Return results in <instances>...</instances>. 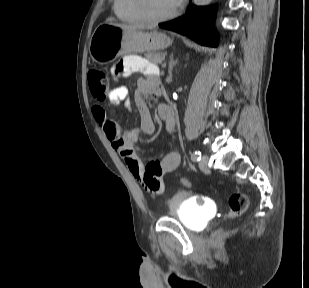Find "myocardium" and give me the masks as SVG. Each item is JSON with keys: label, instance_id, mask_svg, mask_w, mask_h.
<instances>
[{"label": "myocardium", "instance_id": "obj_1", "mask_svg": "<svg viewBox=\"0 0 309 288\" xmlns=\"http://www.w3.org/2000/svg\"><path fill=\"white\" fill-rule=\"evenodd\" d=\"M136 5L140 15L149 23H158L169 20L175 17L180 11V5H178L174 10L167 14L156 15L151 10L150 0H136Z\"/></svg>", "mask_w": 309, "mask_h": 288}]
</instances>
